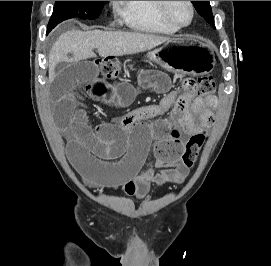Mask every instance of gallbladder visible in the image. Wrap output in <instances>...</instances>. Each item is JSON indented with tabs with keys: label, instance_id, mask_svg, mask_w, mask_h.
<instances>
[{
	"label": "gallbladder",
	"instance_id": "gallbladder-1",
	"mask_svg": "<svg viewBox=\"0 0 271 266\" xmlns=\"http://www.w3.org/2000/svg\"><path fill=\"white\" fill-rule=\"evenodd\" d=\"M71 56V55H69ZM67 63L66 62H60L56 65V73L59 75L61 74L64 70H65V67H66Z\"/></svg>",
	"mask_w": 271,
	"mask_h": 266
}]
</instances>
